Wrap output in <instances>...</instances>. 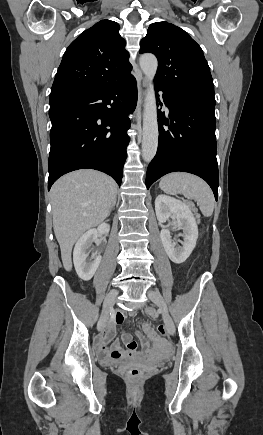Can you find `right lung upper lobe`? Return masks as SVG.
<instances>
[{
  "label": "right lung upper lobe",
  "mask_w": 263,
  "mask_h": 435,
  "mask_svg": "<svg viewBox=\"0 0 263 435\" xmlns=\"http://www.w3.org/2000/svg\"><path fill=\"white\" fill-rule=\"evenodd\" d=\"M119 29L118 23L101 20L69 45L52 85L50 103L87 94L131 74Z\"/></svg>",
  "instance_id": "1"
}]
</instances>
